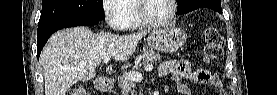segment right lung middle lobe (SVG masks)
<instances>
[{
  "mask_svg": "<svg viewBox=\"0 0 277 95\" xmlns=\"http://www.w3.org/2000/svg\"><path fill=\"white\" fill-rule=\"evenodd\" d=\"M104 19L102 0H43L38 27Z\"/></svg>",
  "mask_w": 277,
  "mask_h": 95,
  "instance_id": "1",
  "label": "right lung middle lobe"
}]
</instances>
